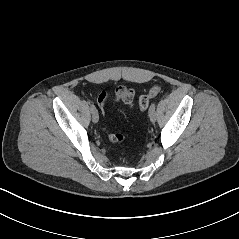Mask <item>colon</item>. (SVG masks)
<instances>
[{"instance_id":"5ec220e1","label":"colon","mask_w":239,"mask_h":239,"mask_svg":"<svg viewBox=\"0 0 239 239\" xmlns=\"http://www.w3.org/2000/svg\"><path fill=\"white\" fill-rule=\"evenodd\" d=\"M160 92V87L158 85H153L149 91L142 95L139 98V108L141 111H145L149 105V102L152 98L156 97ZM109 96L108 91H102L98 98V105L101 108L102 112H104V105L106 102L107 97ZM105 133L112 143H122L125 141V136L121 133H110L105 130Z\"/></svg>"}]
</instances>
